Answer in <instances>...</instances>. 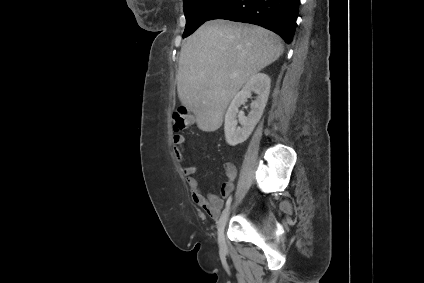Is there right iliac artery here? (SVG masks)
<instances>
[{
	"label": "right iliac artery",
	"instance_id": "right-iliac-artery-1",
	"mask_svg": "<svg viewBox=\"0 0 424 283\" xmlns=\"http://www.w3.org/2000/svg\"><path fill=\"white\" fill-rule=\"evenodd\" d=\"M231 201H232V197L230 196L226 201V208L229 207V205L231 204Z\"/></svg>",
	"mask_w": 424,
	"mask_h": 283
}]
</instances>
